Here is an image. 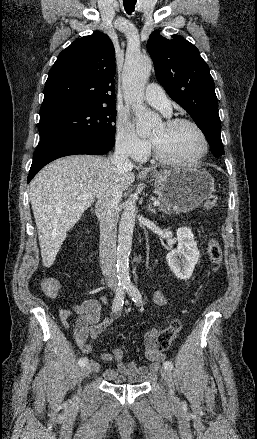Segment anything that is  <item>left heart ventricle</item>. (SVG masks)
Wrapping results in <instances>:
<instances>
[{"mask_svg":"<svg viewBox=\"0 0 257 439\" xmlns=\"http://www.w3.org/2000/svg\"><path fill=\"white\" fill-rule=\"evenodd\" d=\"M166 155L177 160H190L202 149V141L189 125L167 128L159 125L151 134Z\"/></svg>","mask_w":257,"mask_h":439,"instance_id":"obj_1","label":"left heart ventricle"}]
</instances>
